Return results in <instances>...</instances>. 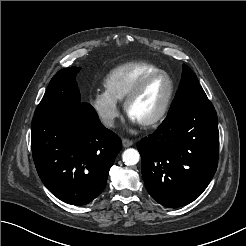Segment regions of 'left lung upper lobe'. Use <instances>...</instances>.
I'll return each mask as SVG.
<instances>
[{"label":"left lung upper lobe","mask_w":246,"mask_h":246,"mask_svg":"<svg viewBox=\"0 0 246 246\" xmlns=\"http://www.w3.org/2000/svg\"><path fill=\"white\" fill-rule=\"evenodd\" d=\"M207 99L208 98L199 84L196 75L187 65L183 64V72L179 89L168 115L176 112L182 107Z\"/></svg>","instance_id":"obj_1"}]
</instances>
